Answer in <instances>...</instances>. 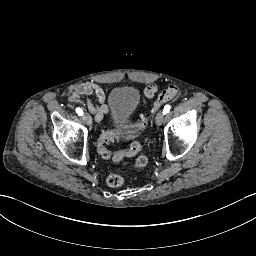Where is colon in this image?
I'll return each mask as SVG.
<instances>
[{"instance_id":"5ec220e1","label":"colon","mask_w":256,"mask_h":256,"mask_svg":"<svg viewBox=\"0 0 256 256\" xmlns=\"http://www.w3.org/2000/svg\"><path fill=\"white\" fill-rule=\"evenodd\" d=\"M178 93V88L176 86H169L163 90L154 101L150 114L147 116H142L140 120L133 123V130L142 131L145 129L151 122L152 117L160 111V109L170 100L174 99ZM129 135V132L119 131L116 129H106L102 132L100 140L98 143V152L101 157H109L113 160H121L122 157H129L133 155H139L138 161H136L135 166L138 169L143 168L148 162L147 157L142 153L143 147L139 142H134L130 146L129 150L119 151V153H112L106 145L114 140H117L121 137ZM125 180L121 174L111 173L106 177V183L108 186L116 188L124 184Z\"/></svg>"}]
</instances>
